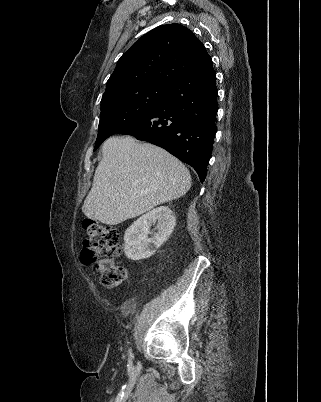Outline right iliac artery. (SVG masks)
I'll list each match as a JSON object with an SVG mask.
<instances>
[{
    "mask_svg": "<svg viewBox=\"0 0 321 402\" xmlns=\"http://www.w3.org/2000/svg\"><path fill=\"white\" fill-rule=\"evenodd\" d=\"M133 355H132V352H131V350H129V357L131 358Z\"/></svg>",
    "mask_w": 321,
    "mask_h": 402,
    "instance_id": "obj_1",
    "label": "right iliac artery"
}]
</instances>
